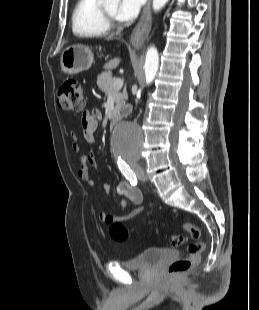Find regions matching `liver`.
Masks as SVG:
<instances>
[{"label":"liver","mask_w":259,"mask_h":310,"mask_svg":"<svg viewBox=\"0 0 259 310\" xmlns=\"http://www.w3.org/2000/svg\"><path fill=\"white\" fill-rule=\"evenodd\" d=\"M120 63V59L119 58H114L112 60H110L106 65L105 67L108 68V69H114L116 68Z\"/></svg>","instance_id":"6515ba94"}]
</instances>
